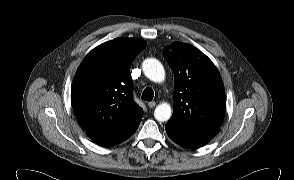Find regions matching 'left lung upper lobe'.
<instances>
[{
	"mask_svg": "<svg viewBox=\"0 0 294 180\" xmlns=\"http://www.w3.org/2000/svg\"><path fill=\"white\" fill-rule=\"evenodd\" d=\"M174 73L171 121L188 129H219L225 112L222 78L212 61L190 44L173 42L163 52Z\"/></svg>",
	"mask_w": 294,
	"mask_h": 180,
	"instance_id": "1",
	"label": "left lung upper lobe"
}]
</instances>
